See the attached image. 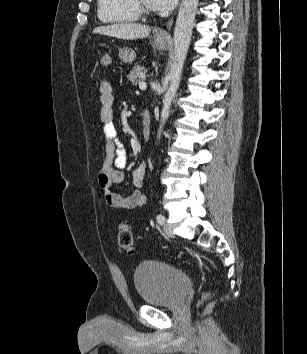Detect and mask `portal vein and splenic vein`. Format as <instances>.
<instances>
[{"label":"portal vein and splenic vein","mask_w":307,"mask_h":354,"mask_svg":"<svg viewBox=\"0 0 307 354\" xmlns=\"http://www.w3.org/2000/svg\"><path fill=\"white\" fill-rule=\"evenodd\" d=\"M139 88H140L141 90H145V89L147 88V84H146L144 81H142V82H140V84H139Z\"/></svg>","instance_id":"1"}]
</instances>
